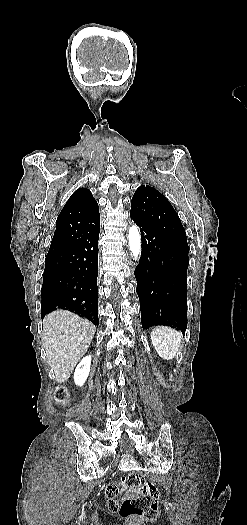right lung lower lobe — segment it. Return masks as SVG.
Segmentation results:
<instances>
[{
    "label": "right lung lower lobe",
    "mask_w": 247,
    "mask_h": 525,
    "mask_svg": "<svg viewBox=\"0 0 247 525\" xmlns=\"http://www.w3.org/2000/svg\"><path fill=\"white\" fill-rule=\"evenodd\" d=\"M100 227L68 247L47 254L41 317L57 309L80 314L98 326L97 275Z\"/></svg>",
    "instance_id": "obj_1"
}]
</instances>
